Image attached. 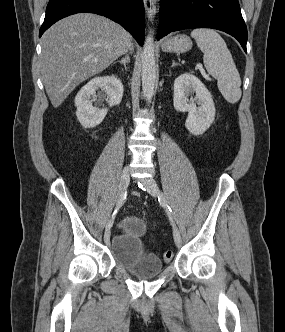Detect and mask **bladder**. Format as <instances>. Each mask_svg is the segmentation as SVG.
<instances>
[{
  "instance_id": "1",
  "label": "bladder",
  "mask_w": 285,
  "mask_h": 332,
  "mask_svg": "<svg viewBox=\"0 0 285 332\" xmlns=\"http://www.w3.org/2000/svg\"><path fill=\"white\" fill-rule=\"evenodd\" d=\"M146 224L136 216L126 217L120 231L110 242L111 252L116 263L139 278L159 275L163 270L161 260L146 252L143 237Z\"/></svg>"
}]
</instances>
